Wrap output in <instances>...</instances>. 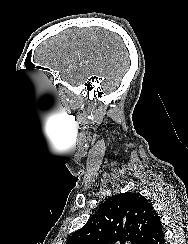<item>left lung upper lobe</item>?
Instances as JSON below:
<instances>
[{
    "mask_svg": "<svg viewBox=\"0 0 188 244\" xmlns=\"http://www.w3.org/2000/svg\"><path fill=\"white\" fill-rule=\"evenodd\" d=\"M157 213L140 193H122L108 198L66 244H145Z\"/></svg>",
    "mask_w": 188,
    "mask_h": 244,
    "instance_id": "5c2ea615",
    "label": "left lung upper lobe"
}]
</instances>
